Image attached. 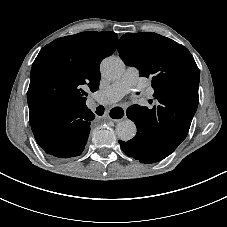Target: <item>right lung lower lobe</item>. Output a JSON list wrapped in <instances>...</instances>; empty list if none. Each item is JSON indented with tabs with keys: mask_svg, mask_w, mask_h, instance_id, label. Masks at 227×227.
Here are the masks:
<instances>
[{
	"mask_svg": "<svg viewBox=\"0 0 227 227\" xmlns=\"http://www.w3.org/2000/svg\"><path fill=\"white\" fill-rule=\"evenodd\" d=\"M34 137L49 155L58 158L79 156L85 148L95 115L87 106L64 109L47 101L29 106Z\"/></svg>",
	"mask_w": 227,
	"mask_h": 227,
	"instance_id": "right-lung-lower-lobe-1",
	"label": "right lung lower lobe"
}]
</instances>
